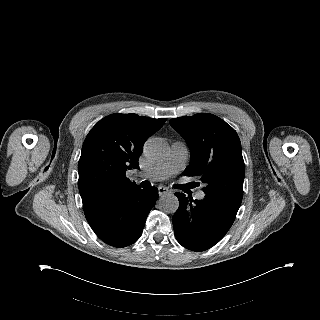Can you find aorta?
<instances>
[{"instance_id": "1", "label": "aorta", "mask_w": 320, "mask_h": 320, "mask_svg": "<svg viewBox=\"0 0 320 320\" xmlns=\"http://www.w3.org/2000/svg\"><path fill=\"white\" fill-rule=\"evenodd\" d=\"M169 152L167 143L159 138H151L144 145L145 156L153 162L163 160ZM160 209L166 213H175L179 207L178 198L174 194H164L159 199Z\"/></svg>"}]
</instances>
